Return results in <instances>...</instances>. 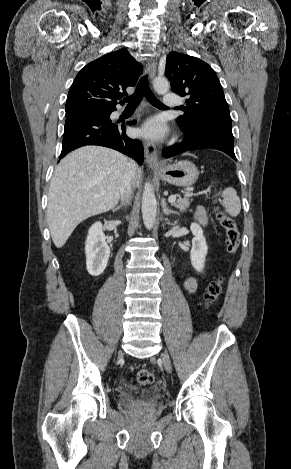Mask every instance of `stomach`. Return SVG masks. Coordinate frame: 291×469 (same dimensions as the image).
I'll return each mask as SVG.
<instances>
[{"mask_svg": "<svg viewBox=\"0 0 291 469\" xmlns=\"http://www.w3.org/2000/svg\"><path fill=\"white\" fill-rule=\"evenodd\" d=\"M156 172L162 180L182 187L194 184L199 175L196 166L188 160L168 164Z\"/></svg>", "mask_w": 291, "mask_h": 469, "instance_id": "stomach-1", "label": "stomach"}]
</instances>
